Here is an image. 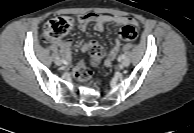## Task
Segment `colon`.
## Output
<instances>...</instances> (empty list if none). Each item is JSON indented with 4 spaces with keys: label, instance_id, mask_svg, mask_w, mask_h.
Returning a JSON list of instances; mask_svg holds the SVG:
<instances>
[{
    "label": "colon",
    "instance_id": "5ec220e1",
    "mask_svg": "<svg viewBox=\"0 0 194 133\" xmlns=\"http://www.w3.org/2000/svg\"><path fill=\"white\" fill-rule=\"evenodd\" d=\"M72 21L69 17L61 16L47 21L43 28L46 40H55L64 36L71 28ZM121 38L128 42H133L137 38V30L132 26H125L121 30ZM91 62L98 65L104 56V49L98 43L90 48ZM74 76L78 80H86L91 75L90 69L84 62L78 63L73 69Z\"/></svg>",
    "mask_w": 194,
    "mask_h": 133
}]
</instances>
